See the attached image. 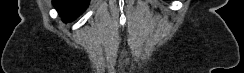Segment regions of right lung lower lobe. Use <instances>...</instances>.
Returning <instances> with one entry per match:
<instances>
[{"mask_svg":"<svg viewBox=\"0 0 244 73\" xmlns=\"http://www.w3.org/2000/svg\"><path fill=\"white\" fill-rule=\"evenodd\" d=\"M64 22L79 16L89 5V0H52Z\"/></svg>","mask_w":244,"mask_h":73,"instance_id":"right-lung-lower-lobe-1","label":"right lung lower lobe"}]
</instances>
